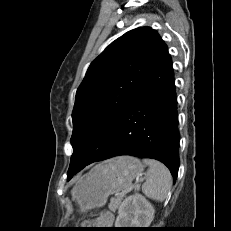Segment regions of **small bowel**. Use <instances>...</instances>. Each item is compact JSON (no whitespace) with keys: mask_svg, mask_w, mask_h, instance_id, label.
<instances>
[{"mask_svg":"<svg viewBox=\"0 0 231 231\" xmlns=\"http://www.w3.org/2000/svg\"><path fill=\"white\" fill-rule=\"evenodd\" d=\"M113 215L111 213H107L105 214L102 218H101V225H100V231H107L108 228L112 227L113 225Z\"/></svg>","mask_w":231,"mask_h":231,"instance_id":"1","label":"small bowel"}]
</instances>
